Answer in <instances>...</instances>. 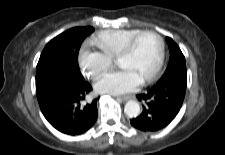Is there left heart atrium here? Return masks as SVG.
Listing matches in <instances>:
<instances>
[{"label":"left heart atrium","instance_id":"obj_1","mask_svg":"<svg viewBox=\"0 0 225 155\" xmlns=\"http://www.w3.org/2000/svg\"><path fill=\"white\" fill-rule=\"evenodd\" d=\"M141 82L132 71L121 68L106 74L96 83L95 89L101 93L122 94L136 90Z\"/></svg>","mask_w":225,"mask_h":155}]
</instances>
